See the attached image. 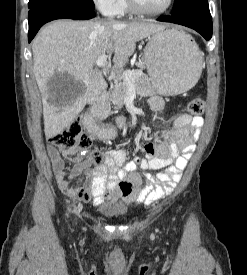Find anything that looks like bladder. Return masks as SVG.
I'll return each mask as SVG.
<instances>
[{
  "label": "bladder",
  "mask_w": 247,
  "mask_h": 275,
  "mask_svg": "<svg viewBox=\"0 0 247 275\" xmlns=\"http://www.w3.org/2000/svg\"><path fill=\"white\" fill-rule=\"evenodd\" d=\"M99 212L106 218L117 219L126 215L125 210L119 205H109L99 208Z\"/></svg>",
  "instance_id": "31cf9c89"
}]
</instances>
